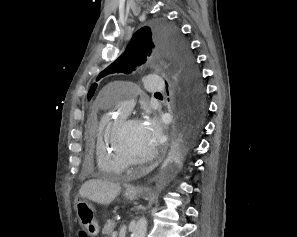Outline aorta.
Instances as JSON below:
<instances>
[{"mask_svg":"<svg viewBox=\"0 0 297 237\" xmlns=\"http://www.w3.org/2000/svg\"><path fill=\"white\" fill-rule=\"evenodd\" d=\"M147 220L145 217L140 218L135 226L132 237H146Z\"/></svg>","mask_w":297,"mask_h":237,"instance_id":"aorta-1","label":"aorta"}]
</instances>
